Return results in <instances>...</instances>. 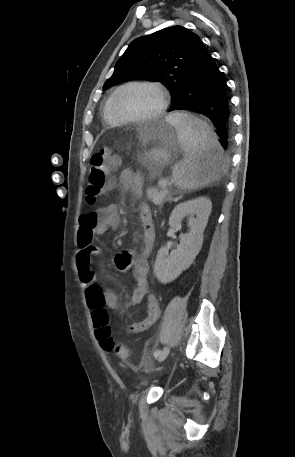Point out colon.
I'll use <instances>...</instances> for the list:
<instances>
[{
    "instance_id": "obj_1",
    "label": "colon",
    "mask_w": 295,
    "mask_h": 457,
    "mask_svg": "<svg viewBox=\"0 0 295 457\" xmlns=\"http://www.w3.org/2000/svg\"><path fill=\"white\" fill-rule=\"evenodd\" d=\"M118 163V157L107 147L101 148L92 155L88 184L86 188V198L88 203H94L98 197L113 186L114 179L112 177V173L117 168ZM93 295L94 291H91V314L95 334L100 343V350L112 352V358L114 360H129V350L122 345H118L117 342L113 341L111 338L109 316L104 308L103 302L95 300Z\"/></svg>"
}]
</instances>
